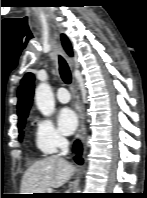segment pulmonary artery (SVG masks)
<instances>
[{"mask_svg":"<svg viewBox=\"0 0 147 198\" xmlns=\"http://www.w3.org/2000/svg\"><path fill=\"white\" fill-rule=\"evenodd\" d=\"M57 99L61 103H68L71 99V96L66 88L61 87L57 91Z\"/></svg>","mask_w":147,"mask_h":198,"instance_id":"pulmonary-artery-1","label":"pulmonary artery"}]
</instances>
